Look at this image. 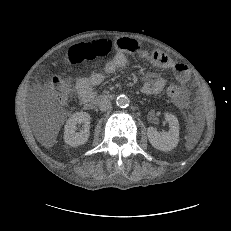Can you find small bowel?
I'll list each match as a JSON object with an SVG mask.
<instances>
[{
    "instance_id": "obj_1",
    "label": "small bowel",
    "mask_w": 231,
    "mask_h": 231,
    "mask_svg": "<svg viewBox=\"0 0 231 231\" xmlns=\"http://www.w3.org/2000/svg\"><path fill=\"white\" fill-rule=\"evenodd\" d=\"M115 44L117 52L113 58L105 64L103 72H95L76 82L75 89L82 102L89 101L93 98L95 87L104 81L106 74H111L118 68L126 66L129 62L130 55H136L140 58L150 60L158 67L172 70L176 80L182 85L188 82L189 71L187 67L184 64L174 62L162 51L150 52L136 40L127 37L118 38ZM165 84L166 82L163 78L153 74H146L141 90L146 95L157 94L164 89Z\"/></svg>"
}]
</instances>
